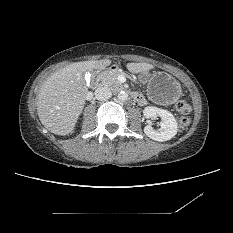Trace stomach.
Segmentation results:
<instances>
[{
  "label": "stomach",
  "instance_id": "obj_1",
  "mask_svg": "<svg viewBox=\"0 0 233 233\" xmlns=\"http://www.w3.org/2000/svg\"><path fill=\"white\" fill-rule=\"evenodd\" d=\"M139 76L142 82L147 83V94L155 102L171 104L181 95L179 82L167 72H142Z\"/></svg>",
  "mask_w": 233,
  "mask_h": 233
}]
</instances>
